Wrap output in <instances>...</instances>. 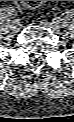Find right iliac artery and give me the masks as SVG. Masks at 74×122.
Returning a JSON list of instances; mask_svg holds the SVG:
<instances>
[{
	"label": "right iliac artery",
	"mask_w": 74,
	"mask_h": 122,
	"mask_svg": "<svg viewBox=\"0 0 74 122\" xmlns=\"http://www.w3.org/2000/svg\"><path fill=\"white\" fill-rule=\"evenodd\" d=\"M4 11L10 16H13L15 13V9L12 7H8L7 9H4Z\"/></svg>",
	"instance_id": "right-iliac-artery-1"
}]
</instances>
